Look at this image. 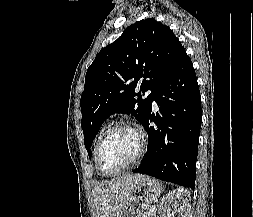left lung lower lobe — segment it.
I'll return each instance as SVG.
<instances>
[{
	"label": "left lung lower lobe",
	"mask_w": 253,
	"mask_h": 217,
	"mask_svg": "<svg viewBox=\"0 0 253 217\" xmlns=\"http://www.w3.org/2000/svg\"><path fill=\"white\" fill-rule=\"evenodd\" d=\"M152 100L161 114H151V102L142 122L148 134L147 152L133 172L194 189L201 97L192 61L186 53L159 85ZM152 121L156 126H149Z\"/></svg>",
	"instance_id": "0a47b994"
}]
</instances>
